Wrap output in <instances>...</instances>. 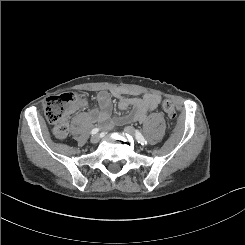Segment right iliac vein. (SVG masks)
I'll return each mask as SVG.
<instances>
[{
    "label": "right iliac vein",
    "mask_w": 245,
    "mask_h": 245,
    "mask_svg": "<svg viewBox=\"0 0 245 245\" xmlns=\"http://www.w3.org/2000/svg\"><path fill=\"white\" fill-rule=\"evenodd\" d=\"M100 140V136L98 134L93 135L90 139L92 143H97Z\"/></svg>",
    "instance_id": "1"
}]
</instances>
